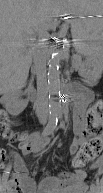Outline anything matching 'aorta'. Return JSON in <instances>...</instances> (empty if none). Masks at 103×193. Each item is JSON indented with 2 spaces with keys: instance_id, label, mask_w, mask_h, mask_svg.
Segmentation results:
<instances>
[{
  "instance_id": "aorta-1",
  "label": "aorta",
  "mask_w": 103,
  "mask_h": 193,
  "mask_svg": "<svg viewBox=\"0 0 103 193\" xmlns=\"http://www.w3.org/2000/svg\"><path fill=\"white\" fill-rule=\"evenodd\" d=\"M59 65H60V51L59 49L55 50L52 54L49 63H48V81L50 89L52 92H55L58 88L59 82ZM54 108H57V104L54 101Z\"/></svg>"
}]
</instances>
